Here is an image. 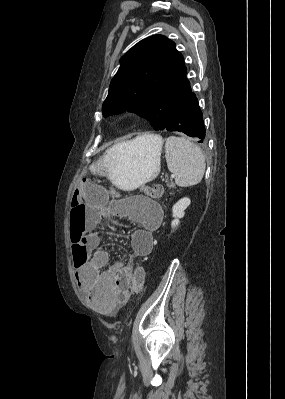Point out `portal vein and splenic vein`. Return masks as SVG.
Instances as JSON below:
<instances>
[{
  "mask_svg": "<svg viewBox=\"0 0 285 399\" xmlns=\"http://www.w3.org/2000/svg\"><path fill=\"white\" fill-rule=\"evenodd\" d=\"M171 178H174V175H171Z\"/></svg>",
  "mask_w": 285,
  "mask_h": 399,
  "instance_id": "18ae733b",
  "label": "portal vein and splenic vein"
}]
</instances>
